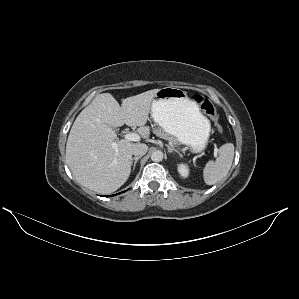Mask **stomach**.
<instances>
[{
  "label": "stomach",
  "instance_id": "stomach-1",
  "mask_svg": "<svg viewBox=\"0 0 299 299\" xmlns=\"http://www.w3.org/2000/svg\"><path fill=\"white\" fill-rule=\"evenodd\" d=\"M151 117L162 131L189 146L193 152L205 148L210 136V121L182 89H159L152 101Z\"/></svg>",
  "mask_w": 299,
  "mask_h": 299
}]
</instances>
